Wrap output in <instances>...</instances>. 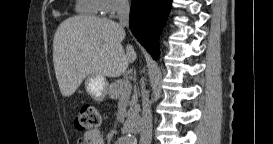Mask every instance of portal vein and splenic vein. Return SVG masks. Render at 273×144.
Returning <instances> with one entry per match:
<instances>
[{
	"instance_id": "1",
	"label": "portal vein and splenic vein",
	"mask_w": 273,
	"mask_h": 144,
	"mask_svg": "<svg viewBox=\"0 0 273 144\" xmlns=\"http://www.w3.org/2000/svg\"><path fill=\"white\" fill-rule=\"evenodd\" d=\"M126 87H127V90H131V83L129 81L126 82Z\"/></svg>"
}]
</instances>
